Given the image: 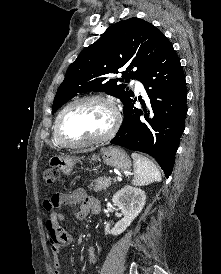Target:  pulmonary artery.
Masks as SVG:
<instances>
[{
    "mask_svg": "<svg viewBox=\"0 0 221 274\" xmlns=\"http://www.w3.org/2000/svg\"><path fill=\"white\" fill-rule=\"evenodd\" d=\"M136 90L143 91V85L139 81H134Z\"/></svg>",
    "mask_w": 221,
    "mask_h": 274,
    "instance_id": "e3ab8cb5",
    "label": "pulmonary artery"
}]
</instances>
